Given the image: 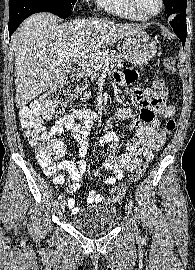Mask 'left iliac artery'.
Returning <instances> with one entry per match:
<instances>
[{
    "label": "left iliac artery",
    "instance_id": "obj_1",
    "mask_svg": "<svg viewBox=\"0 0 195 270\" xmlns=\"http://www.w3.org/2000/svg\"><path fill=\"white\" fill-rule=\"evenodd\" d=\"M129 205H130L131 207H134V203H133L132 200H129Z\"/></svg>",
    "mask_w": 195,
    "mask_h": 270
}]
</instances>
